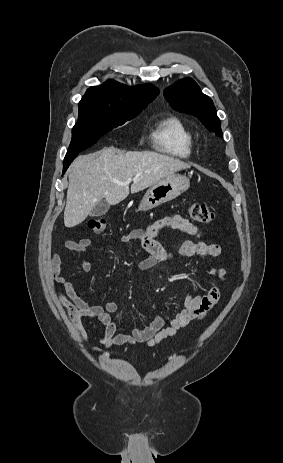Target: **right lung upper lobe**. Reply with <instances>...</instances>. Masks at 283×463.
Returning a JSON list of instances; mask_svg holds the SVG:
<instances>
[{"label": "right lung upper lobe", "mask_w": 283, "mask_h": 463, "mask_svg": "<svg viewBox=\"0 0 283 463\" xmlns=\"http://www.w3.org/2000/svg\"><path fill=\"white\" fill-rule=\"evenodd\" d=\"M158 94L159 90L150 84L128 87L114 80H108L101 86L90 87L82 99L148 105Z\"/></svg>", "instance_id": "cb5924a9"}]
</instances>
